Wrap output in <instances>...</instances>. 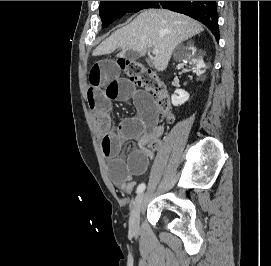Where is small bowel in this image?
<instances>
[{"instance_id": "c3829d8e", "label": "small bowel", "mask_w": 271, "mask_h": 266, "mask_svg": "<svg viewBox=\"0 0 271 266\" xmlns=\"http://www.w3.org/2000/svg\"><path fill=\"white\" fill-rule=\"evenodd\" d=\"M131 100L137 114L123 119L113 128L110 110L113 101ZM87 102L94 112V126L102 137L101 147L110 159L109 174L113 184L126 193L135 187L133 178L144 174L152 157L147 144L162 134L149 95L137 90L127 79L120 77L118 65L109 60L99 61L89 73ZM136 140L138 146L124 158L122 146L126 141Z\"/></svg>"}]
</instances>
